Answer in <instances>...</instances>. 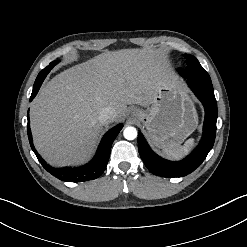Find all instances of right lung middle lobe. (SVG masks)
<instances>
[{
	"instance_id": "dd1d6c3e",
	"label": "right lung middle lobe",
	"mask_w": 247,
	"mask_h": 247,
	"mask_svg": "<svg viewBox=\"0 0 247 247\" xmlns=\"http://www.w3.org/2000/svg\"><path fill=\"white\" fill-rule=\"evenodd\" d=\"M58 63V61L51 62L46 68H44L42 71H40L39 74H45L46 72L49 73V71Z\"/></svg>"
}]
</instances>
